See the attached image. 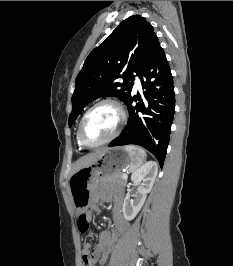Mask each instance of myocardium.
Returning a JSON list of instances; mask_svg holds the SVG:
<instances>
[{"mask_svg": "<svg viewBox=\"0 0 233 266\" xmlns=\"http://www.w3.org/2000/svg\"><path fill=\"white\" fill-rule=\"evenodd\" d=\"M105 104H110L117 109V111L119 113L118 124H117L115 130L112 132V134L109 137H107L106 139H104L100 142H97L94 144H89L83 139V135H82L83 126H84L87 118L90 116V114L95 109H97L98 107L105 105ZM126 120H127V114H126L124 106L121 104L120 101L113 99V98L102 99V100L98 101L97 103H95L91 108H89L88 111L82 117V119L79 123V126H78V130H77V140L81 146L86 147V148H96V147L102 146L104 144H107V143L113 141L116 137H118V135L121 133V131L123 130V128L126 124Z\"/></svg>", "mask_w": 233, "mask_h": 266, "instance_id": "1", "label": "myocardium"}]
</instances>
